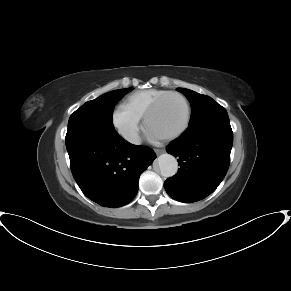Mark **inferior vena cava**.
I'll list each match as a JSON object with an SVG mask.
<instances>
[{
    "label": "inferior vena cava",
    "mask_w": 291,
    "mask_h": 291,
    "mask_svg": "<svg viewBox=\"0 0 291 291\" xmlns=\"http://www.w3.org/2000/svg\"><path fill=\"white\" fill-rule=\"evenodd\" d=\"M130 142L133 143V144H140L141 140H140L138 135H133L131 140H130Z\"/></svg>",
    "instance_id": "602c4592"
}]
</instances>
